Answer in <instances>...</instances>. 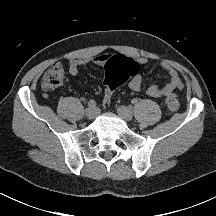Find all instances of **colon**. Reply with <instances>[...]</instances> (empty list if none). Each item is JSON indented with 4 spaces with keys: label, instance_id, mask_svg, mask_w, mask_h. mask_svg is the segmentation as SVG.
<instances>
[{
    "label": "colon",
    "instance_id": "colon-1",
    "mask_svg": "<svg viewBox=\"0 0 216 216\" xmlns=\"http://www.w3.org/2000/svg\"><path fill=\"white\" fill-rule=\"evenodd\" d=\"M140 69V65L136 62L119 57L115 60L110 61L105 70V95L103 104L109 105L115 95V91L125 84L130 77L136 75ZM64 78V69L61 64L56 63L50 69L46 71L42 78V88L45 91H52L58 88ZM165 107L169 113H174L179 108V100L173 95H167L165 98Z\"/></svg>",
    "mask_w": 216,
    "mask_h": 216
}]
</instances>
